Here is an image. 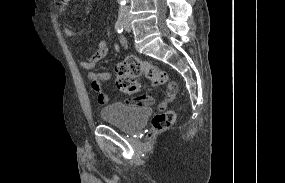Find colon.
<instances>
[{
    "label": "colon",
    "instance_id": "colon-1",
    "mask_svg": "<svg viewBox=\"0 0 285 183\" xmlns=\"http://www.w3.org/2000/svg\"><path fill=\"white\" fill-rule=\"evenodd\" d=\"M60 1L63 2L64 0ZM115 71L117 89L127 94L139 92L140 86L137 83V78L141 75L148 78L156 87L164 85L169 81L166 71L134 56H128L123 61L117 63ZM137 102L148 105L152 103V99L138 98ZM161 109L162 111L157 113L152 119V133L161 132L175 122L176 114L174 111L164 110L163 106H161Z\"/></svg>",
    "mask_w": 285,
    "mask_h": 183
}]
</instances>
